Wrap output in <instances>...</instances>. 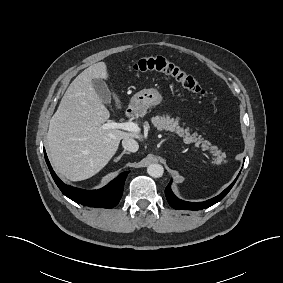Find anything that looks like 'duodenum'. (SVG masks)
<instances>
[{"instance_id":"1","label":"duodenum","mask_w":283,"mask_h":283,"mask_svg":"<svg viewBox=\"0 0 283 283\" xmlns=\"http://www.w3.org/2000/svg\"><path fill=\"white\" fill-rule=\"evenodd\" d=\"M137 114V108L136 107H129L127 109L126 115L130 118L135 117Z\"/></svg>"}]
</instances>
